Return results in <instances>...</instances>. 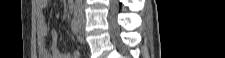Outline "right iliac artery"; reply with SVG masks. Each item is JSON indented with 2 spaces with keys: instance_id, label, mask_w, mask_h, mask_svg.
<instances>
[{
  "instance_id": "right-iliac-artery-1",
  "label": "right iliac artery",
  "mask_w": 225,
  "mask_h": 58,
  "mask_svg": "<svg viewBox=\"0 0 225 58\" xmlns=\"http://www.w3.org/2000/svg\"><path fill=\"white\" fill-rule=\"evenodd\" d=\"M71 29H72L74 34L79 33V24H78V21L75 18L71 21Z\"/></svg>"
}]
</instances>
